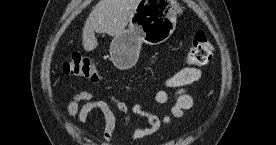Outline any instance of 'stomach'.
<instances>
[{
    "instance_id": "1",
    "label": "stomach",
    "mask_w": 276,
    "mask_h": 145,
    "mask_svg": "<svg viewBox=\"0 0 276 145\" xmlns=\"http://www.w3.org/2000/svg\"><path fill=\"white\" fill-rule=\"evenodd\" d=\"M182 9L169 0H139L133 10L129 26L116 35L110 44L114 65L122 70L137 61L142 43L158 45L165 42L176 29Z\"/></svg>"
}]
</instances>
